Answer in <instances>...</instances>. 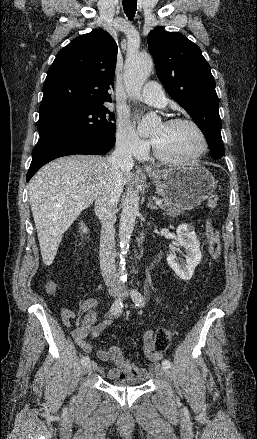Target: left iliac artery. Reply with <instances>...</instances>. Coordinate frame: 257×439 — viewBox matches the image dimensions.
Returning <instances> with one entry per match:
<instances>
[{"mask_svg": "<svg viewBox=\"0 0 257 439\" xmlns=\"http://www.w3.org/2000/svg\"><path fill=\"white\" fill-rule=\"evenodd\" d=\"M131 298L133 300V302L135 303L136 306H140L143 307L145 302H144V298L142 296V294L136 290V289H132L131 292ZM162 366L166 367V368H170L171 367V362L169 360H163L162 361Z\"/></svg>", "mask_w": 257, "mask_h": 439, "instance_id": "1", "label": "left iliac artery"}]
</instances>
